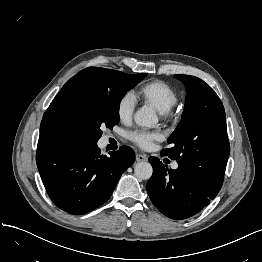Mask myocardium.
<instances>
[{"label":"myocardium","instance_id":"1","mask_svg":"<svg viewBox=\"0 0 262 262\" xmlns=\"http://www.w3.org/2000/svg\"><path fill=\"white\" fill-rule=\"evenodd\" d=\"M162 115H163L164 117H166V118H170L171 115H172V112H171V110H169V111H167V112H165V113H162Z\"/></svg>","mask_w":262,"mask_h":262}]
</instances>
